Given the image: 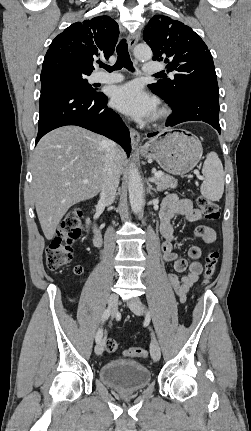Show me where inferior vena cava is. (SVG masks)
Returning a JSON list of instances; mask_svg holds the SVG:
<instances>
[{
  "instance_id": "602c4592",
  "label": "inferior vena cava",
  "mask_w": 251,
  "mask_h": 431,
  "mask_svg": "<svg viewBox=\"0 0 251 431\" xmlns=\"http://www.w3.org/2000/svg\"><path fill=\"white\" fill-rule=\"evenodd\" d=\"M107 151L105 158L104 183L100 193V202L106 206H110L116 196L117 187L119 185L120 170L117 164V144L107 140Z\"/></svg>"
}]
</instances>
